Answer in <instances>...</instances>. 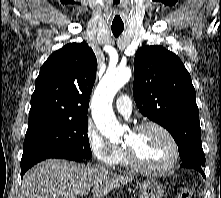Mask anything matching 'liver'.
<instances>
[{"label": "liver", "instance_id": "liver-1", "mask_svg": "<svg viewBox=\"0 0 221 198\" xmlns=\"http://www.w3.org/2000/svg\"><path fill=\"white\" fill-rule=\"evenodd\" d=\"M130 180L104 167L48 159L25 173L21 192L22 198H75L93 187L92 198H103Z\"/></svg>", "mask_w": 221, "mask_h": 198}]
</instances>
